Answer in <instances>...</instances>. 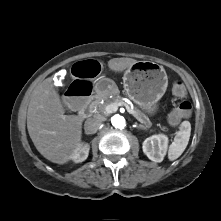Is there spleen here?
<instances>
[{
    "label": "spleen",
    "mask_w": 221,
    "mask_h": 221,
    "mask_svg": "<svg viewBox=\"0 0 221 221\" xmlns=\"http://www.w3.org/2000/svg\"><path fill=\"white\" fill-rule=\"evenodd\" d=\"M190 134H191L190 122L183 121L179 127V131L176 133L174 141L169 147L168 151L169 160L173 161L181 156V154L184 152V150L188 145Z\"/></svg>",
    "instance_id": "1"
}]
</instances>
